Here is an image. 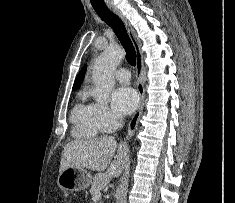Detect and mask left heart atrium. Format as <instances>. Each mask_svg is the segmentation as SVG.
I'll list each match as a JSON object with an SVG mask.
<instances>
[{
    "instance_id": "1",
    "label": "left heart atrium",
    "mask_w": 235,
    "mask_h": 203,
    "mask_svg": "<svg viewBox=\"0 0 235 203\" xmlns=\"http://www.w3.org/2000/svg\"><path fill=\"white\" fill-rule=\"evenodd\" d=\"M139 102L136 91L128 86L115 89L111 95L112 108L120 116L131 114Z\"/></svg>"
}]
</instances>
